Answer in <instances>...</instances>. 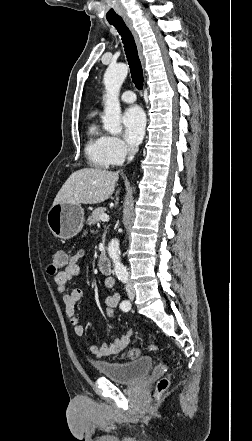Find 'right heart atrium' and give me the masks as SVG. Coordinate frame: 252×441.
<instances>
[{
	"instance_id": "right-heart-atrium-1",
	"label": "right heart atrium",
	"mask_w": 252,
	"mask_h": 441,
	"mask_svg": "<svg viewBox=\"0 0 252 441\" xmlns=\"http://www.w3.org/2000/svg\"><path fill=\"white\" fill-rule=\"evenodd\" d=\"M107 152L113 165L122 163L131 154L129 147L116 136H107Z\"/></svg>"
}]
</instances>
